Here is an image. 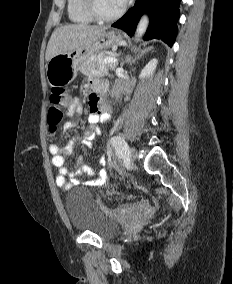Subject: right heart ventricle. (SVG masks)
<instances>
[{
    "instance_id": "right-heart-ventricle-1",
    "label": "right heart ventricle",
    "mask_w": 233,
    "mask_h": 284,
    "mask_svg": "<svg viewBox=\"0 0 233 284\" xmlns=\"http://www.w3.org/2000/svg\"><path fill=\"white\" fill-rule=\"evenodd\" d=\"M67 14L72 22L78 24H89L95 20L88 12L85 0H67Z\"/></svg>"
}]
</instances>
